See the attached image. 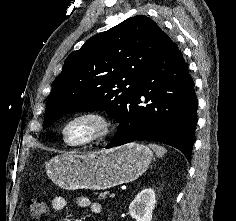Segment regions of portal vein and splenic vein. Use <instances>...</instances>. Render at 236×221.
Listing matches in <instances>:
<instances>
[{
  "label": "portal vein and splenic vein",
  "mask_w": 236,
  "mask_h": 221,
  "mask_svg": "<svg viewBox=\"0 0 236 221\" xmlns=\"http://www.w3.org/2000/svg\"><path fill=\"white\" fill-rule=\"evenodd\" d=\"M114 197H115V193H111L110 198H114Z\"/></svg>",
  "instance_id": "portal-vein-and-splenic-vein-1"
}]
</instances>
